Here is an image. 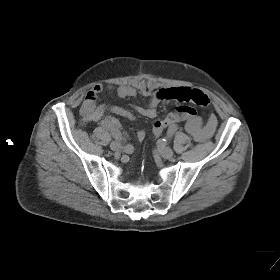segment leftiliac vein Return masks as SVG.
<instances>
[{
    "label": "left iliac vein",
    "instance_id": "1",
    "mask_svg": "<svg viewBox=\"0 0 280 280\" xmlns=\"http://www.w3.org/2000/svg\"><path fill=\"white\" fill-rule=\"evenodd\" d=\"M160 155L165 159H171L173 157V150L169 147L159 149Z\"/></svg>",
    "mask_w": 280,
    "mask_h": 280
}]
</instances>
